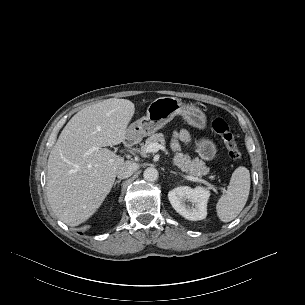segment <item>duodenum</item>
<instances>
[{"mask_svg": "<svg viewBox=\"0 0 305 305\" xmlns=\"http://www.w3.org/2000/svg\"><path fill=\"white\" fill-rule=\"evenodd\" d=\"M136 136L135 135H133V134H131V135H129L127 138H126V140H125V145L126 146H131V145H133L135 142H136Z\"/></svg>", "mask_w": 305, "mask_h": 305, "instance_id": "duodenum-1", "label": "duodenum"}]
</instances>
